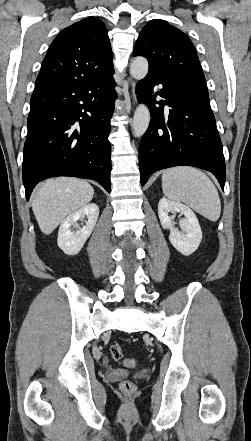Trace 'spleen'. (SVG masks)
I'll list each match as a JSON object with an SVG mask.
<instances>
[{
	"instance_id": "obj_1",
	"label": "spleen",
	"mask_w": 251,
	"mask_h": 441,
	"mask_svg": "<svg viewBox=\"0 0 251 441\" xmlns=\"http://www.w3.org/2000/svg\"><path fill=\"white\" fill-rule=\"evenodd\" d=\"M162 190L173 202H183L210 221L221 214L218 191L201 170L180 166L167 169L162 174Z\"/></svg>"
}]
</instances>
